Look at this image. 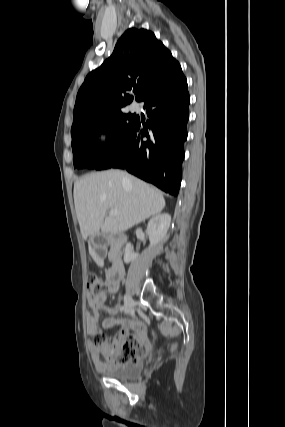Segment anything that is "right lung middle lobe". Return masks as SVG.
I'll use <instances>...</instances> for the list:
<instances>
[{
	"instance_id": "right-lung-middle-lobe-1",
	"label": "right lung middle lobe",
	"mask_w": 285,
	"mask_h": 427,
	"mask_svg": "<svg viewBox=\"0 0 285 427\" xmlns=\"http://www.w3.org/2000/svg\"><path fill=\"white\" fill-rule=\"evenodd\" d=\"M135 121V115L119 110L72 130L74 167L94 169L104 162L124 142ZM103 132L109 135V140L107 146L101 147L98 136Z\"/></svg>"
}]
</instances>
